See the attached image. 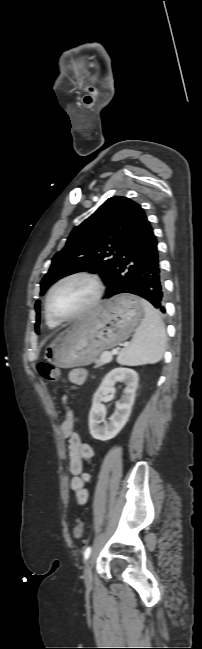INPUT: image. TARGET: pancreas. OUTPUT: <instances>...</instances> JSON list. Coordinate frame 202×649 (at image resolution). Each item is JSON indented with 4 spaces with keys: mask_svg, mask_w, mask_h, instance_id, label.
<instances>
[{
    "mask_svg": "<svg viewBox=\"0 0 202 649\" xmlns=\"http://www.w3.org/2000/svg\"><path fill=\"white\" fill-rule=\"evenodd\" d=\"M95 364H96V365H95V368H98V367L103 366V365L106 364V363L103 362V361L101 360V358H100V359L95 360Z\"/></svg>",
    "mask_w": 202,
    "mask_h": 649,
    "instance_id": "cf45deb5",
    "label": "pancreas"
}]
</instances>
